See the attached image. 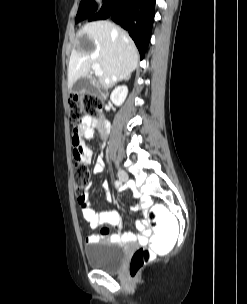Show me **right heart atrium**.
<instances>
[{
    "mask_svg": "<svg viewBox=\"0 0 247 304\" xmlns=\"http://www.w3.org/2000/svg\"><path fill=\"white\" fill-rule=\"evenodd\" d=\"M95 2L99 5H101L104 2V0H95Z\"/></svg>",
    "mask_w": 247,
    "mask_h": 304,
    "instance_id": "1",
    "label": "right heart atrium"
}]
</instances>
